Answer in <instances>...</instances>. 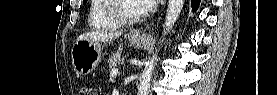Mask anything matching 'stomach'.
Here are the masks:
<instances>
[{
	"label": "stomach",
	"instance_id": "1",
	"mask_svg": "<svg viewBox=\"0 0 277 95\" xmlns=\"http://www.w3.org/2000/svg\"><path fill=\"white\" fill-rule=\"evenodd\" d=\"M130 43L136 48H143L147 44V39L139 32L131 31ZM71 60L74 71L79 75L91 73L101 60V44L98 41L86 39L77 40L71 50Z\"/></svg>",
	"mask_w": 277,
	"mask_h": 95
}]
</instances>
